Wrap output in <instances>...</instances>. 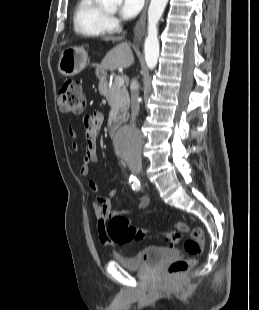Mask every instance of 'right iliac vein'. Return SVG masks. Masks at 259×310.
Masks as SVG:
<instances>
[{
  "label": "right iliac vein",
  "instance_id": "1",
  "mask_svg": "<svg viewBox=\"0 0 259 310\" xmlns=\"http://www.w3.org/2000/svg\"><path fill=\"white\" fill-rule=\"evenodd\" d=\"M131 170L136 173L140 174L142 172V166L140 164L131 166Z\"/></svg>",
  "mask_w": 259,
  "mask_h": 310
}]
</instances>
